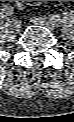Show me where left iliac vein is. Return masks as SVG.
I'll list each match as a JSON object with an SVG mask.
<instances>
[{
	"label": "left iliac vein",
	"instance_id": "1",
	"mask_svg": "<svg viewBox=\"0 0 74 122\" xmlns=\"http://www.w3.org/2000/svg\"><path fill=\"white\" fill-rule=\"evenodd\" d=\"M30 20L32 23H34L36 25L45 26L46 28H48L51 31H53L55 28V24L51 20H48L46 18L32 17Z\"/></svg>",
	"mask_w": 74,
	"mask_h": 122
}]
</instances>
